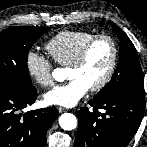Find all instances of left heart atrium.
Instances as JSON below:
<instances>
[{
	"instance_id": "1",
	"label": "left heart atrium",
	"mask_w": 147,
	"mask_h": 147,
	"mask_svg": "<svg viewBox=\"0 0 147 147\" xmlns=\"http://www.w3.org/2000/svg\"><path fill=\"white\" fill-rule=\"evenodd\" d=\"M89 89L90 87L81 79H72L46 92L44 101L48 105L73 107L87 94Z\"/></svg>"
}]
</instances>
